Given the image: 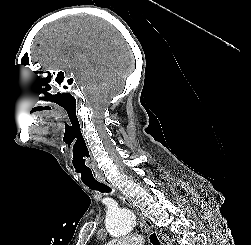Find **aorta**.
Returning a JSON list of instances; mask_svg holds the SVG:
<instances>
[{"mask_svg":"<svg viewBox=\"0 0 251 245\" xmlns=\"http://www.w3.org/2000/svg\"><path fill=\"white\" fill-rule=\"evenodd\" d=\"M135 228V217L129 209H117L106 216L107 232L113 237H122Z\"/></svg>","mask_w":251,"mask_h":245,"instance_id":"obj_1","label":"aorta"}]
</instances>
